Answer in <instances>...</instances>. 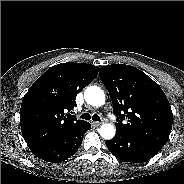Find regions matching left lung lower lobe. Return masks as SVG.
Wrapping results in <instances>:
<instances>
[{
	"instance_id": "left-lung-lower-lobe-1",
	"label": "left lung lower lobe",
	"mask_w": 184,
	"mask_h": 184,
	"mask_svg": "<svg viewBox=\"0 0 184 184\" xmlns=\"http://www.w3.org/2000/svg\"><path fill=\"white\" fill-rule=\"evenodd\" d=\"M109 151L124 162L142 163L153 158L160 150L131 134L116 128V135L106 141Z\"/></svg>"
}]
</instances>
